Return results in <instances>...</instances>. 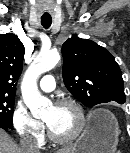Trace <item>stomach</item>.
Segmentation results:
<instances>
[{
	"mask_svg": "<svg viewBox=\"0 0 130 153\" xmlns=\"http://www.w3.org/2000/svg\"><path fill=\"white\" fill-rule=\"evenodd\" d=\"M119 136L118 122L109 111L100 109L74 144L72 153H113Z\"/></svg>",
	"mask_w": 130,
	"mask_h": 153,
	"instance_id": "stomach-1",
	"label": "stomach"
}]
</instances>
